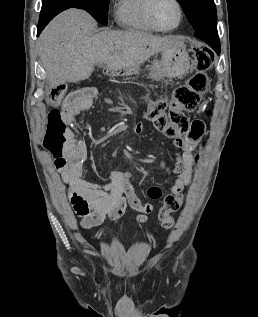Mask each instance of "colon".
Masks as SVG:
<instances>
[{"label":"colon","mask_w":258,"mask_h":317,"mask_svg":"<svg viewBox=\"0 0 258 317\" xmlns=\"http://www.w3.org/2000/svg\"><path fill=\"white\" fill-rule=\"evenodd\" d=\"M194 53L196 72L187 83L174 91L170 101H151L147 105L146 118L170 139H178L188 133V114L198 107L208 86L207 71L214 64V53L204 47L195 49ZM65 90V85H56L49 96V101L57 107L48 114L44 146L54 153L61 152L73 136L70 128L71 119L60 107ZM181 205V195L169 194L165 197L159 212L163 228L169 229L173 226L171 214L178 211Z\"/></svg>","instance_id":"obj_1"}]
</instances>
